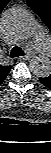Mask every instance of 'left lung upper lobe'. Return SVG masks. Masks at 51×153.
I'll return each instance as SVG.
<instances>
[{
	"mask_svg": "<svg viewBox=\"0 0 51 153\" xmlns=\"http://www.w3.org/2000/svg\"><path fill=\"white\" fill-rule=\"evenodd\" d=\"M27 3L51 31V0H27Z\"/></svg>",
	"mask_w": 51,
	"mask_h": 153,
	"instance_id": "left-lung-upper-lobe-1",
	"label": "left lung upper lobe"
}]
</instances>
